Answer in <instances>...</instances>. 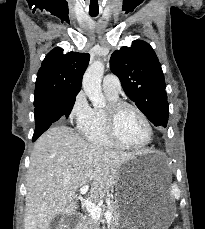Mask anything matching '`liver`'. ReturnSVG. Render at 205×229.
<instances>
[{
	"label": "liver",
	"mask_w": 205,
	"mask_h": 229,
	"mask_svg": "<svg viewBox=\"0 0 205 229\" xmlns=\"http://www.w3.org/2000/svg\"><path fill=\"white\" fill-rule=\"evenodd\" d=\"M134 157L90 144L69 127L49 128L30 157L24 229H49L57 215L74 213L76 192L87 184L90 199L99 201L116 184L120 167Z\"/></svg>",
	"instance_id": "liver-1"
}]
</instances>
